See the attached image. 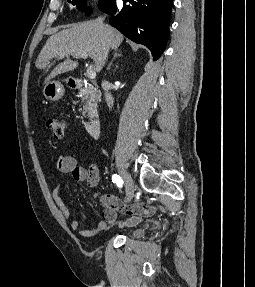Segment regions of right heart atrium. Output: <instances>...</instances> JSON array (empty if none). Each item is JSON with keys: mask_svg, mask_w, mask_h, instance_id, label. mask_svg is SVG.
I'll return each instance as SVG.
<instances>
[{"mask_svg": "<svg viewBox=\"0 0 255 287\" xmlns=\"http://www.w3.org/2000/svg\"><path fill=\"white\" fill-rule=\"evenodd\" d=\"M68 48H77V47H68Z\"/></svg>", "mask_w": 255, "mask_h": 287, "instance_id": "right-heart-atrium-1", "label": "right heart atrium"}]
</instances>
